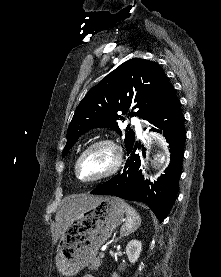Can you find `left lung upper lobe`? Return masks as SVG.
Wrapping results in <instances>:
<instances>
[{"instance_id": "obj_1", "label": "left lung upper lobe", "mask_w": 221, "mask_h": 277, "mask_svg": "<svg viewBox=\"0 0 221 277\" xmlns=\"http://www.w3.org/2000/svg\"><path fill=\"white\" fill-rule=\"evenodd\" d=\"M174 91L156 62L140 58L124 62L89 90L76 108L62 157L92 128L107 127L122 135L119 123L125 118L118 111L148 121ZM126 131L124 141L128 152L135 142V134L131 129Z\"/></svg>"}]
</instances>
